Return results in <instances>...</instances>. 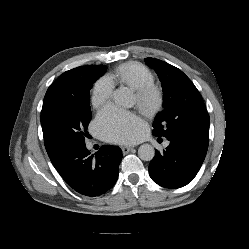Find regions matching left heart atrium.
<instances>
[{
	"instance_id": "39dd6f15",
	"label": "left heart atrium",
	"mask_w": 249,
	"mask_h": 249,
	"mask_svg": "<svg viewBox=\"0 0 249 249\" xmlns=\"http://www.w3.org/2000/svg\"><path fill=\"white\" fill-rule=\"evenodd\" d=\"M96 127L105 140L115 143L136 142L145 129L138 115L114 105L107 106L99 112Z\"/></svg>"
}]
</instances>
